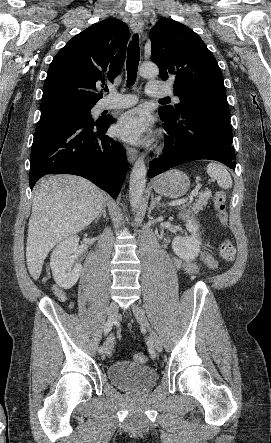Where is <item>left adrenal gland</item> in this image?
<instances>
[{"instance_id": "obj_1", "label": "left adrenal gland", "mask_w": 271, "mask_h": 443, "mask_svg": "<svg viewBox=\"0 0 271 443\" xmlns=\"http://www.w3.org/2000/svg\"><path fill=\"white\" fill-rule=\"evenodd\" d=\"M156 206H159V208H161L162 204H160V200H156V198H154L153 194H151V206H150L149 210H154V208H156Z\"/></svg>"}]
</instances>
